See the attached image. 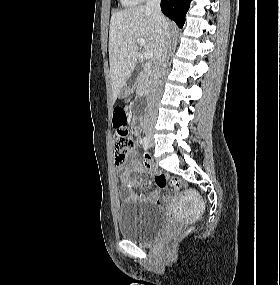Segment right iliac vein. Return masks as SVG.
Returning <instances> with one entry per match:
<instances>
[{
	"label": "right iliac vein",
	"mask_w": 280,
	"mask_h": 285,
	"mask_svg": "<svg viewBox=\"0 0 280 285\" xmlns=\"http://www.w3.org/2000/svg\"><path fill=\"white\" fill-rule=\"evenodd\" d=\"M147 137H148V139H150L151 142H152V137H153L152 132H148V133H147Z\"/></svg>",
	"instance_id": "1"
}]
</instances>
